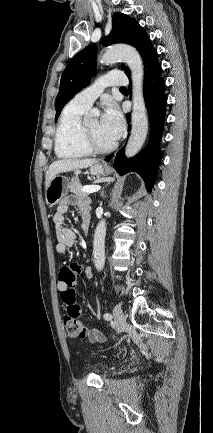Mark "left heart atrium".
I'll list each match as a JSON object with an SVG mask.
<instances>
[{
    "instance_id": "1",
    "label": "left heart atrium",
    "mask_w": 213,
    "mask_h": 433,
    "mask_svg": "<svg viewBox=\"0 0 213 433\" xmlns=\"http://www.w3.org/2000/svg\"><path fill=\"white\" fill-rule=\"evenodd\" d=\"M104 132L113 140H117L124 131V120L116 104L108 102L100 119Z\"/></svg>"
}]
</instances>
